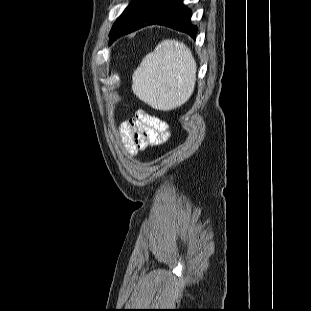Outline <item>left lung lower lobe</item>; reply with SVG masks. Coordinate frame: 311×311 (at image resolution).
<instances>
[{"label":"left lung lower lobe","mask_w":311,"mask_h":311,"mask_svg":"<svg viewBox=\"0 0 311 311\" xmlns=\"http://www.w3.org/2000/svg\"><path fill=\"white\" fill-rule=\"evenodd\" d=\"M191 15L183 0H134L114 24L109 44L124 34L156 24L185 32L195 39L197 27L191 25Z\"/></svg>","instance_id":"obj_1"}]
</instances>
